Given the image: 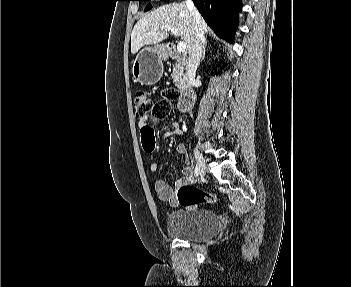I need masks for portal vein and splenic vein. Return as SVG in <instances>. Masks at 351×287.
<instances>
[{
  "label": "portal vein and splenic vein",
  "mask_w": 351,
  "mask_h": 287,
  "mask_svg": "<svg viewBox=\"0 0 351 287\" xmlns=\"http://www.w3.org/2000/svg\"><path fill=\"white\" fill-rule=\"evenodd\" d=\"M161 30H165V31H171V33L175 36H179V31L175 28H172L170 26H164L161 27ZM186 50V44L183 41L178 42L177 44V51L179 53L184 52Z\"/></svg>",
  "instance_id": "1"
}]
</instances>
